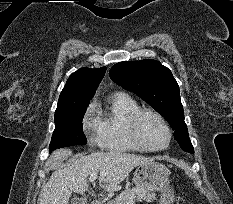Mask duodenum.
I'll return each instance as SVG.
<instances>
[{
  "mask_svg": "<svg viewBox=\"0 0 233 204\" xmlns=\"http://www.w3.org/2000/svg\"><path fill=\"white\" fill-rule=\"evenodd\" d=\"M91 204H102L99 200H93Z\"/></svg>",
  "mask_w": 233,
  "mask_h": 204,
  "instance_id": "1",
  "label": "duodenum"
}]
</instances>
